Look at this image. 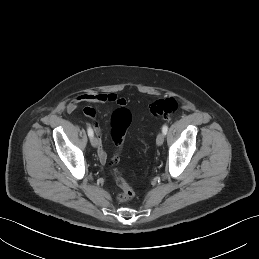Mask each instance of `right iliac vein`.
Listing matches in <instances>:
<instances>
[{
	"label": "right iliac vein",
	"mask_w": 259,
	"mask_h": 259,
	"mask_svg": "<svg viewBox=\"0 0 259 259\" xmlns=\"http://www.w3.org/2000/svg\"><path fill=\"white\" fill-rule=\"evenodd\" d=\"M90 142L94 148L98 147V140L96 137H91Z\"/></svg>",
	"instance_id": "63e3f726"
}]
</instances>
